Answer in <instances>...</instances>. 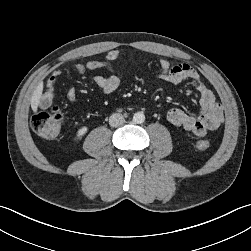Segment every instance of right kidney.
<instances>
[{
    "instance_id": "1",
    "label": "right kidney",
    "mask_w": 251,
    "mask_h": 251,
    "mask_svg": "<svg viewBox=\"0 0 251 251\" xmlns=\"http://www.w3.org/2000/svg\"><path fill=\"white\" fill-rule=\"evenodd\" d=\"M88 128L86 126L81 127L80 129H78L77 133H76V137L74 138L75 141L81 139V137L86 134Z\"/></svg>"
}]
</instances>
